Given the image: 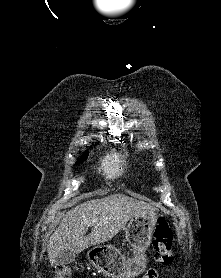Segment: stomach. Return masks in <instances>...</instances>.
<instances>
[{"instance_id": "stomach-1", "label": "stomach", "mask_w": 221, "mask_h": 278, "mask_svg": "<svg viewBox=\"0 0 221 278\" xmlns=\"http://www.w3.org/2000/svg\"><path fill=\"white\" fill-rule=\"evenodd\" d=\"M156 223L155 213L137 214L131 218L125 230V237L136 252L141 253L148 248ZM88 258L95 268L112 278H141L142 269H146L144 259H147V254H136L135 258L140 261L128 264L118 249L104 245L90 249Z\"/></svg>"}]
</instances>
